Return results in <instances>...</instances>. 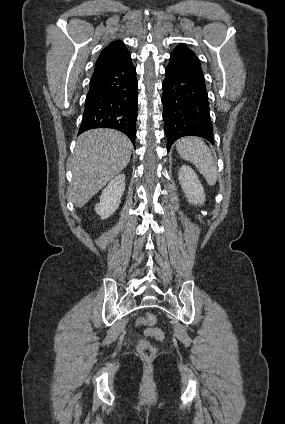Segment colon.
<instances>
[{
    "mask_svg": "<svg viewBox=\"0 0 285 424\" xmlns=\"http://www.w3.org/2000/svg\"><path fill=\"white\" fill-rule=\"evenodd\" d=\"M156 322V317L153 314H146L145 316L141 317L139 320V323L145 326H153ZM152 331V335L156 337L157 339H163V333L156 329H149ZM137 351L138 353L144 357V358H152L156 354V348L155 346L146 339H140L137 344Z\"/></svg>",
    "mask_w": 285,
    "mask_h": 424,
    "instance_id": "colon-1",
    "label": "colon"
}]
</instances>
